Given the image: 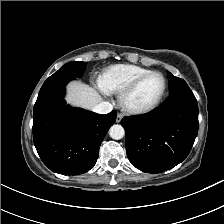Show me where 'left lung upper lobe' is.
I'll return each mask as SVG.
<instances>
[{"mask_svg": "<svg viewBox=\"0 0 224 224\" xmlns=\"http://www.w3.org/2000/svg\"><path fill=\"white\" fill-rule=\"evenodd\" d=\"M168 80H169V90H170V93L182 88V87H185V86H188L186 84V82L178 77H175L173 76L170 72H168Z\"/></svg>", "mask_w": 224, "mask_h": 224, "instance_id": "left-lung-upper-lobe-1", "label": "left lung upper lobe"}]
</instances>
